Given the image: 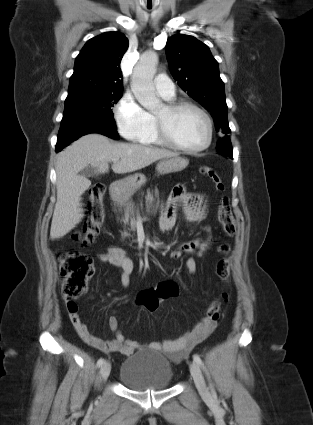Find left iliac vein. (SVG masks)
Returning a JSON list of instances; mask_svg holds the SVG:
<instances>
[{"label":"left iliac vein","instance_id":"1","mask_svg":"<svg viewBox=\"0 0 313 425\" xmlns=\"http://www.w3.org/2000/svg\"><path fill=\"white\" fill-rule=\"evenodd\" d=\"M190 372L201 396L204 398H210L211 394L206 386L201 369L196 362L190 363Z\"/></svg>","mask_w":313,"mask_h":425}]
</instances>
